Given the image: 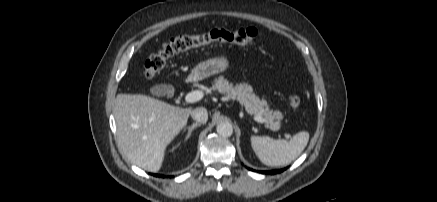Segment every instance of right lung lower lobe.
Here are the masks:
<instances>
[{"label":"right lung lower lobe","instance_id":"obj_1","mask_svg":"<svg viewBox=\"0 0 437 202\" xmlns=\"http://www.w3.org/2000/svg\"><path fill=\"white\" fill-rule=\"evenodd\" d=\"M153 175L156 176V177H157V176H159V177H163V175H158V174H153Z\"/></svg>","mask_w":437,"mask_h":202}]
</instances>
